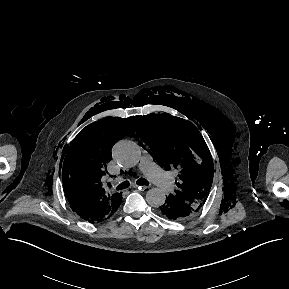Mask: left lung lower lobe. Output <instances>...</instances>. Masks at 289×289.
<instances>
[{"label":"left lung lower lobe","mask_w":289,"mask_h":289,"mask_svg":"<svg viewBox=\"0 0 289 289\" xmlns=\"http://www.w3.org/2000/svg\"><path fill=\"white\" fill-rule=\"evenodd\" d=\"M159 208L163 216L173 221L184 220L197 212L189 204L178 201L170 196H168L164 205Z\"/></svg>","instance_id":"left-lung-lower-lobe-1"}]
</instances>
